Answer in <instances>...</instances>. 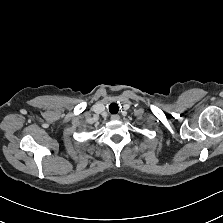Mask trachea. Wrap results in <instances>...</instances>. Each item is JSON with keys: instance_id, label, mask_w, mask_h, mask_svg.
I'll return each mask as SVG.
<instances>
[{"instance_id": "obj_1", "label": "trachea", "mask_w": 223, "mask_h": 223, "mask_svg": "<svg viewBox=\"0 0 223 223\" xmlns=\"http://www.w3.org/2000/svg\"><path fill=\"white\" fill-rule=\"evenodd\" d=\"M109 111H110L112 114H114V113H118V111H119L118 104H116V103H112V104H110V106H109Z\"/></svg>"}]
</instances>
